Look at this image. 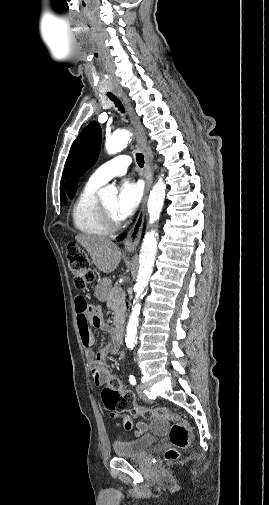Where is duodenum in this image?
I'll return each instance as SVG.
<instances>
[{
    "mask_svg": "<svg viewBox=\"0 0 269 505\" xmlns=\"http://www.w3.org/2000/svg\"><path fill=\"white\" fill-rule=\"evenodd\" d=\"M124 336V325L122 323H118L114 329V337L118 344H122Z\"/></svg>",
    "mask_w": 269,
    "mask_h": 505,
    "instance_id": "duodenum-1",
    "label": "duodenum"
}]
</instances>
